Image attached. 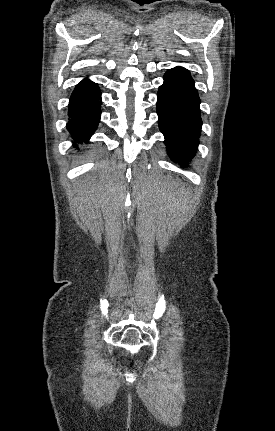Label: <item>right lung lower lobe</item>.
Listing matches in <instances>:
<instances>
[{
    "label": "right lung lower lobe",
    "instance_id": "98d812e1",
    "mask_svg": "<svg viewBox=\"0 0 275 431\" xmlns=\"http://www.w3.org/2000/svg\"><path fill=\"white\" fill-rule=\"evenodd\" d=\"M101 102V91L94 82L84 79L75 87L69 101L67 123L75 142H87L93 135L100 121Z\"/></svg>",
    "mask_w": 275,
    "mask_h": 431
}]
</instances>
